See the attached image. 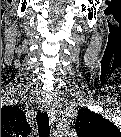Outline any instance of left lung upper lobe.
I'll list each match as a JSON object with an SVG mask.
<instances>
[{
	"label": "left lung upper lobe",
	"instance_id": "left-lung-upper-lobe-1",
	"mask_svg": "<svg viewBox=\"0 0 121 137\" xmlns=\"http://www.w3.org/2000/svg\"><path fill=\"white\" fill-rule=\"evenodd\" d=\"M75 129L80 136L114 137L120 130L109 120L88 109L79 110Z\"/></svg>",
	"mask_w": 121,
	"mask_h": 137
}]
</instances>
